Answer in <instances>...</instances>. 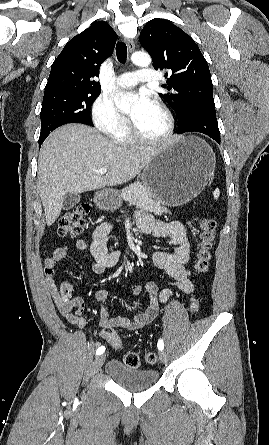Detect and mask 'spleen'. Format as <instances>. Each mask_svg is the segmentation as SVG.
I'll use <instances>...</instances> for the list:
<instances>
[{
  "mask_svg": "<svg viewBox=\"0 0 269 445\" xmlns=\"http://www.w3.org/2000/svg\"><path fill=\"white\" fill-rule=\"evenodd\" d=\"M214 199H218L220 196V190L216 188L213 192Z\"/></svg>",
  "mask_w": 269,
  "mask_h": 445,
  "instance_id": "obj_1",
  "label": "spleen"
}]
</instances>
